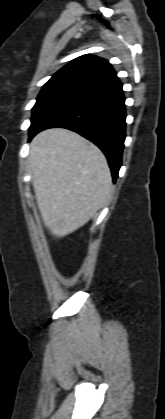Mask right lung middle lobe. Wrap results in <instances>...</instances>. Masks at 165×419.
Wrapping results in <instances>:
<instances>
[{"instance_id": "dd1d6c3e", "label": "right lung middle lobe", "mask_w": 165, "mask_h": 419, "mask_svg": "<svg viewBox=\"0 0 165 419\" xmlns=\"http://www.w3.org/2000/svg\"><path fill=\"white\" fill-rule=\"evenodd\" d=\"M76 91L62 88H43L38 95L36 104L32 109L31 126L29 133L33 131L41 121L50 113L65 106L66 104L81 97Z\"/></svg>"}]
</instances>
